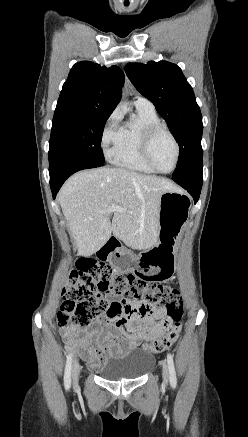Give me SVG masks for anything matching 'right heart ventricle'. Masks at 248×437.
Instances as JSON below:
<instances>
[{
    "instance_id": "1",
    "label": "right heart ventricle",
    "mask_w": 248,
    "mask_h": 437,
    "mask_svg": "<svg viewBox=\"0 0 248 437\" xmlns=\"http://www.w3.org/2000/svg\"><path fill=\"white\" fill-rule=\"evenodd\" d=\"M137 118L127 122L120 128L117 144L111 154L112 161L122 168L151 174L154 171L145 163L141 154V137L143 130L160 119L155 109L136 107Z\"/></svg>"
}]
</instances>
